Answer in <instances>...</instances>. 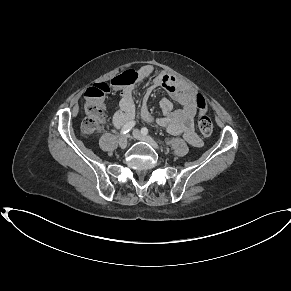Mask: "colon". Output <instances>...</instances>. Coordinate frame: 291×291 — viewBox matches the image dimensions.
Returning a JSON list of instances; mask_svg holds the SVG:
<instances>
[{"label":"colon","mask_w":291,"mask_h":291,"mask_svg":"<svg viewBox=\"0 0 291 291\" xmlns=\"http://www.w3.org/2000/svg\"><path fill=\"white\" fill-rule=\"evenodd\" d=\"M135 80L133 75L114 79L113 86L120 87L131 84ZM110 91V87L105 83L96 84L85 92L84 111L85 117L82 121V131L84 134H94L100 132L104 123L103 100ZM194 102L198 110L197 126L201 134L208 136L213 131V123L208 115V102L206 98L197 93Z\"/></svg>","instance_id":"1"}]
</instances>
